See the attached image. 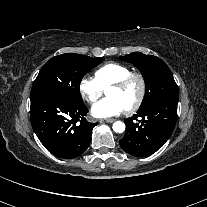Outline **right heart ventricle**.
I'll use <instances>...</instances> for the list:
<instances>
[{
  "label": "right heart ventricle",
  "instance_id": "obj_1",
  "mask_svg": "<svg viewBox=\"0 0 207 207\" xmlns=\"http://www.w3.org/2000/svg\"><path fill=\"white\" fill-rule=\"evenodd\" d=\"M130 73L131 70L129 67L120 63L111 62L96 69L94 76L95 80L102 88H107Z\"/></svg>",
  "mask_w": 207,
  "mask_h": 207
}]
</instances>
